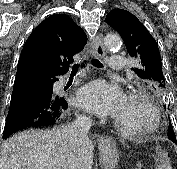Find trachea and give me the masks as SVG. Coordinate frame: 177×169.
<instances>
[{
    "mask_svg": "<svg viewBox=\"0 0 177 169\" xmlns=\"http://www.w3.org/2000/svg\"><path fill=\"white\" fill-rule=\"evenodd\" d=\"M92 64L97 67V68H102L103 64L97 60V59H92ZM85 66V62L82 64H76L72 67V73H77L80 68H83Z\"/></svg>",
    "mask_w": 177,
    "mask_h": 169,
    "instance_id": "1",
    "label": "trachea"
}]
</instances>
